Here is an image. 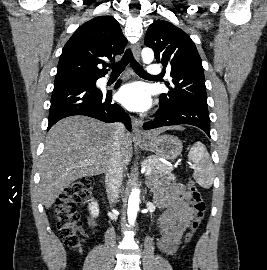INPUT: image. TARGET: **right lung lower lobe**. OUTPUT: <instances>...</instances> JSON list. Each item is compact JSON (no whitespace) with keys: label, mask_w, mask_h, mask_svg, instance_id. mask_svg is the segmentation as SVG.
Segmentation results:
<instances>
[{"label":"right lung lower lobe","mask_w":267,"mask_h":270,"mask_svg":"<svg viewBox=\"0 0 267 270\" xmlns=\"http://www.w3.org/2000/svg\"><path fill=\"white\" fill-rule=\"evenodd\" d=\"M103 76L95 77L96 80ZM95 80V81H96ZM118 81L115 88L120 86ZM85 115L106 123L123 122L131 129L129 115L118 104L112 102V91L102 92L91 84L62 83L54 85L49 110V130L59 120Z\"/></svg>","instance_id":"right-lung-lower-lobe-1"}]
</instances>
